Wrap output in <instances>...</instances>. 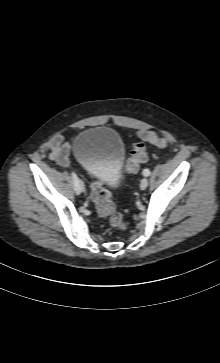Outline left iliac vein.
Wrapping results in <instances>:
<instances>
[{
  "label": "left iliac vein",
  "instance_id": "obj_1",
  "mask_svg": "<svg viewBox=\"0 0 220 363\" xmlns=\"http://www.w3.org/2000/svg\"><path fill=\"white\" fill-rule=\"evenodd\" d=\"M148 186V179L147 178H143L141 181H140V188L142 190L146 189Z\"/></svg>",
  "mask_w": 220,
  "mask_h": 363
}]
</instances>
